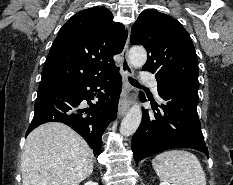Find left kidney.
<instances>
[{
    "mask_svg": "<svg viewBox=\"0 0 233 185\" xmlns=\"http://www.w3.org/2000/svg\"><path fill=\"white\" fill-rule=\"evenodd\" d=\"M159 185H171V184L168 182H161Z\"/></svg>",
    "mask_w": 233,
    "mask_h": 185,
    "instance_id": "5707ae66",
    "label": "left kidney"
}]
</instances>
